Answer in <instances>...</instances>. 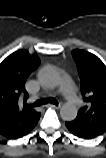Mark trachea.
<instances>
[{"mask_svg": "<svg viewBox=\"0 0 106 158\" xmlns=\"http://www.w3.org/2000/svg\"><path fill=\"white\" fill-rule=\"evenodd\" d=\"M47 103H52V104H58L57 100L55 98H47V99H41L36 101L33 105L34 106H39Z\"/></svg>", "mask_w": 106, "mask_h": 158, "instance_id": "3493384b", "label": "trachea"}]
</instances>
